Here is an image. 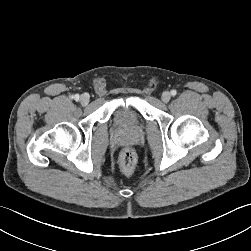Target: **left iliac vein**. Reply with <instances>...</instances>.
<instances>
[{
    "instance_id": "4c4485c4",
    "label": "left iliac vein",
    "mask_w": 251,
    "mask_h": 251,
    "mask_svg": "<svg viewBox=\"0 0 251 251\" xmlns=\"http://www.w3.org/2000/svg\"><path fill=\"white\" fill-rule=\"evenodd\" d=\"M161 98H162V101H163L164 103L169 102V100H170V98H171L170 92H168V91L163 92Z\"/></svg>"
}]
</instances>
